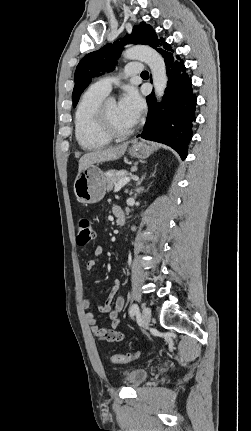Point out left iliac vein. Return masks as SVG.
Wrapping results in <instances>:
<instances>
[{
    "mask_svg": "<svg viewBox=\"0 0 251 431\" xmlns=\"http://www.w3.org/2000/svg\"><path fill=\"white\" fill-rule=\"evenodd\" d=\"M151 321V311L148 307H144L142 310V324L144 329H146Z\"/></svg>",
    "mask_w": 251,
    "mask_h": 431,
    "instance_id": "1",
    "label": "left iliac vein"
}]
</instances>
